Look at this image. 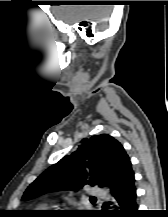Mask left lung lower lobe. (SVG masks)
Returning <instances> with one entry per match:
<instances>
[{"mask_svg":"<svg viewBox=\"0 0 168 217\" xmlns=\"http://www.w3.org/2000/svg\"><path fill=\"white\" fill-rule=\"evenodd\" d=\"M132 167L130 166L129 174L125 180V182L110 191L112 197L114 198V206L117 210H112L106 212L114 217H136L137 214V202H136V187H135V179L134 172L131 171Z\"/></svg>","mask_w":168,"mask_h":217,"instance_id":"1","label":"left lung lower lobe"}]
</instances>
